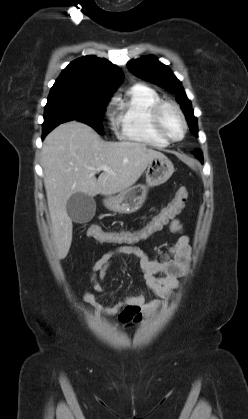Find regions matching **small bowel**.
<instances>
[{
    "instance_id": "small-bowel-1",
    "label": "small bowel",
    "mask_w": 248,
    "mask_h": 419,
    "mask_svg": "<svg viewBox=\"0 0 248 419\" xmlns=\"http://www.w3.org/2000/svg\"><path fill=\"white\" fill-rule=\"evenodd\" d=\"M147 223L143 228L136 231L120 232L132 238L126 243H117L118 246L99 258L92 267L90 282L93 289L104 292L101 282L107 279V272L111 265L117 261L125 262L127 256L136 257L146 283V292L124 297L113 306L99 303L91 292L84 293V300L97 310L107 315H116L118 322L126 326H132L142 321L144 316H150L168 302L179 286V279L185 275L189 268L191 247L189 237L182 233V224L177 219L169 223L170 230L181 234L177 241L160 258L151 259L147 253L134 244L147 239L154 232L148 230ZM94 227V226H92ZM90 237V234L88 232ZM91 238V237H90ZM147 293L157 296L152 301H147Z\"/></svg>"
}]
</instances>
